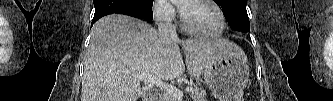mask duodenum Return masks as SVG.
I'll use <instances>...</instances> for the list:
<instances>
[{
    "instance_id": "410a0bca",
    "label": "duodenum",
    "mask_w": 333,
    "mask_h": 101,
    "mask_svg": "<svg viewBox=\"0 0 333 101\" xmlns=\"http://www.w3.org/2000/svg\"><path fill=\"white\" fill-rule=\"evenodd\" d=\"M143 101H157L156 95L152 91L144 92L142 96Z\"/></svg>"
}]
</instances>
